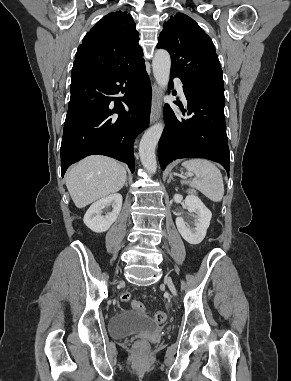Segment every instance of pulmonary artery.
Returning a JSON list of instances; mask_svg holds the SVG:
<instances>
[{"label":"pulmonary artery","instance_id":"e3ab8cb5","mask_svg":"<svg viewBox=\"0 0 291 381\" xmlns=\"http://www.w3.org/2000/svg\"><path fill=\"white\" fill-rule=\"evenodd\" d=\"M174 81H175V84H176V86H177V89H178L179 94H180L181 96H184V91H183V86H182V82H181V80H179V79H175Z\"/></svg>","mask_w":291,"mask_h":381}]
</instances>
